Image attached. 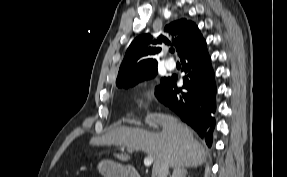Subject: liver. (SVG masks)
Listing matches in <instances>:
<instances>
[{
	"label": "liver",
	"instance_id": "liver-1",
	"mask_svg": "<svg viewBox=\"0 0 287 177\" xmlns=\"http://www.w3.org/2000/svg\"><path fill=\"white\" fill-rule=\"evenodd\" d=\"M145 122L153 128L160 126L161 132H150L141 128L119 126L100 137H93L90 144L127 147L130 153L143 151L154 158L152 177L165 162L171 168L197 167L206 160V153L194 139L193 131L177 118L161 113L149 114ZM121 161H128L127 154H115Z\"/></svg>",
	"mask_w": 287,
	"mask_h": 177
}]
</instances>
